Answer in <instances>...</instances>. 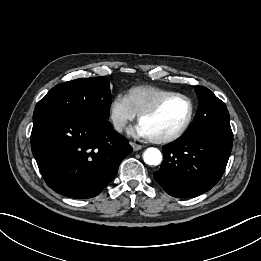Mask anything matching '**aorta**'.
I'll list each match as a JSON object with an SVG mask.
<instances>
[{
    "label": "aorta",
    "instance_id": "obj_1",
    "mask_svg": "<svg viewBox=\"0 0 261 261\" xmlns=\"http://www.w3.org/2000/svg\"><path fill=\"white\" fill-rule=\"evenodd\" d=\"M143 159L146 164L157 166L162 161V154L157 148H148L144 152Z\"/></svg>",
    "mask_w": 261,
    "mask_h": 261
}]
</instances>
